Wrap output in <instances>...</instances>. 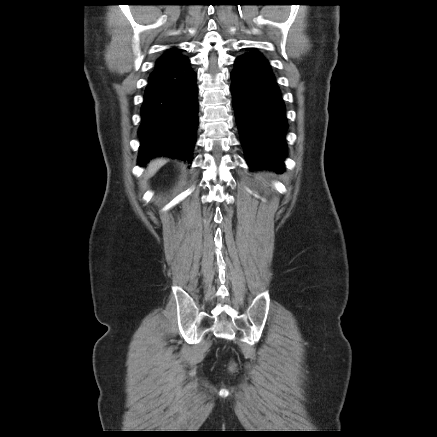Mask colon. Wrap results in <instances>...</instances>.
<instances>
[{
  "mask_svg": "<svg viewBox=\"0 0 437 437\" xmlns=\"http://www.w3.org/2000/svg\"><path fill=\"white\" fill-rule=\"evenodd\" d=\"M234 367H235V364L232 363V364H231V369H234Z\"/></svg>",
  "mask_w": 437,
  "mask_h": 437,
  "instance_id": "colon-1",
  "label": "colon"
}]
</instances>
